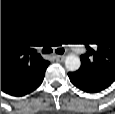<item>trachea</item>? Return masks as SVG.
<instances>
[{
    "label": "trachea",
    "mask_w": 115,
    "mask_h": 114,
    "mask_svg": "<svg viewBox=\"0 0 115 114\" xmlns=\"http://www.w3.org/2000/svg\"><path fill=\"white\" fill-rule=\"evenodd\" d=\"M43 52L44 53H51V52H53V50L50 48H45V49H43ZM55 52L58 54H63L64 50L63 49H57V50H55Z\"/></svg>",
    "instance_id": "trachea-1"
}]
</instances>
